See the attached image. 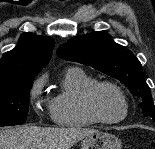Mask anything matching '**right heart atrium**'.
Segmentation results:
<instances>
[{
  "label": "right heart atrium",
  "instance_id": "d8ad5b80",
  "mask_svg": "<svg viewBox=\"0 0 155 149\" xmlns=\"http://www.w3.org/2000/svg\"><path fill=\"white\" fill-rule=\"evenodd\" d=\"M45 83V77L39 78L33 85L30 92V99L35 102L36 107L40 105V96Z\"/></svg>",
  "mask_w": 155,
  "mask_h": 149
}]
</instances>
